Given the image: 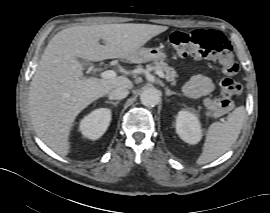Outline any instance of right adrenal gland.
I'll list each match as a JSON object with an SVG mask.
<instances>
[{
    "mask_svg": "<svg viewBox=\"0 0 270 213\" xmlns=\"http://www.w3.org/2000/svg\"><path fill=\"white\" fill-rule=\"evenodd\" d=\"M119 102H120V101H115V102H113V101H110V100H106V103L112 104V105H114V106H117V104H118Z\"/></svg>",
    "mask_w": 270,
    "mask_h": 213,
    "instance_id": "obj_1",
    "label": "right adrenal gland"
}]
</instances>
